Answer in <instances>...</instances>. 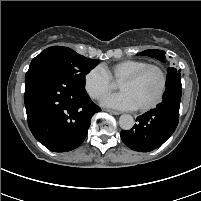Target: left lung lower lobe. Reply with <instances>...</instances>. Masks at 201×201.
I'll use <instances>...</instances> for the list:
<instances>
[{
  "mask_svg": "<svg viewBox=\"0 0 201 201\" xmlns=\"http://www.w3.org/2000/svg\"><path fill=\"white\" fill-rule=\"evenodd\" d=\"M181 94V78L170 79L166 83L162 102L138 116L137 124L132 129L121 131L124 144L138 152H149L160 147L178 125Z\"/></svg>",
  "mask_w": 201,
  "mask_h": 201,
  "instance_id": "left-lung-lower-lobe-1",
  "label": "left lung lower lobe"
}]
</instances>
